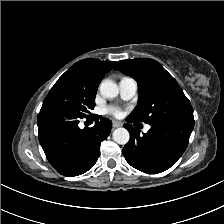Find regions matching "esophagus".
<instances>
[{"label":"esophagus","instance_id":"34e87169","mask_svg":"<svg viewBox=\"0 0 224 224\" xmlns=\"http://www.w3.org/2000/svg\"><path fill=\"white\" fill-rule=\"evenodd\" d=\"M120 126L121 124L119 122L113 121V128H118Z\"/></svg>","mask_w":224,"mask_h":224}]
</instances>
